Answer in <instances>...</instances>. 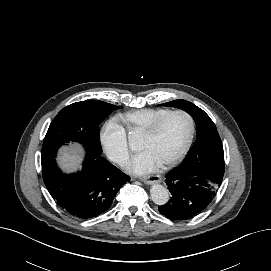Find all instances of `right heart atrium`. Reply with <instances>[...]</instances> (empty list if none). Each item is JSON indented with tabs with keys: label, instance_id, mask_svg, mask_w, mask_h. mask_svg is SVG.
Listing matches in <instances>:
<instances>
[{
	"label": "right heart atrium",
	"instance_id": "right-heart-atrium-1",
	"mask_svg": "<svg viewBox=\"0 0 271 271\" xmlns=\"http://www.w3.org/2000/svg\"><path fill=\"white\" fill-rule=\"evenodd\" d=\"M100 143L107 157L121 165L127 164L131 150L124 128L115 120L107 121L99 135Z\"/></svg>",
	"mask_w": 271,
	"mask_h": 271
}]
</instances>
